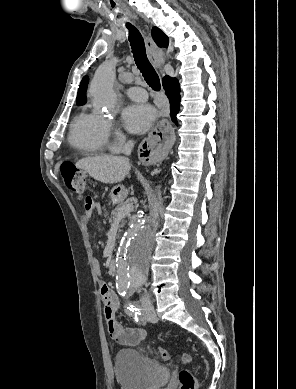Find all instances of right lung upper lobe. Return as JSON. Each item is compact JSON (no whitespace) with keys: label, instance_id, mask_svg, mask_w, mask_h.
<instances>
[{"label":"right lung upper lobe","instance_id":"right-lung-upper-lobe-1","mask_svg":"<svg viewBox=\"0 0 296 389\" xmlns=\"http://www.w3.org/2000/svg\"><path fill=\"white\" fill-rule=\"evenodd\" d=\"M152 37L155 43L160 47H168L169 39L168 37L157 27H153L152 29ZM165 76L163 79H165ZM88 84V77L85 76L81 84L79 86L78 94H77V105H81L86 101V89Z\"/></svg>","mask_w":296,"mask_h":389}]
</instances>
